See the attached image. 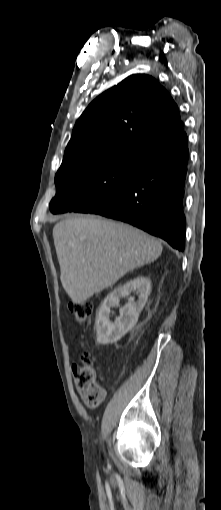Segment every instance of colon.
Returning a JSON list of instances; mask_svg holds the SVG:
<instances>
[{
    "label": "colon",
    "instance_id": "colon-1",
    "mask_svg": "<svg viewBox=\"0 0 221 510\" xmlns=\"http://www.w3.org/2000/svg\"><path fill=\"white\" fill-rule=\"evenodd\" d=\"M69 309L79 324L85 323L92 313V305L89 302H71ZM81 362L75 378L82 390V401L89 408H97L104 399L103 389L96 381L95 369L87 352L82 353Z\"/></svg>",
    "mask_w": 221,
    "mask_h": 510
}]
</instances>
